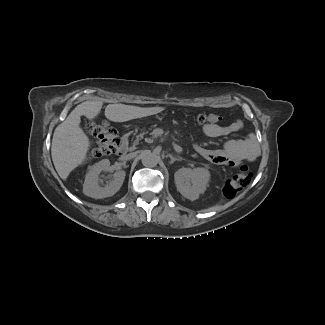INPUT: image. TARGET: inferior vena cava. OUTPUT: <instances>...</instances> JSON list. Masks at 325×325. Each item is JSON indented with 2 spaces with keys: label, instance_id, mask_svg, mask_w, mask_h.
<instances>
[{
  "label": "inferior vena cava",
  "instance_id": "inferior-vena-cava-1",
  "mask_svg": "<svg viewBox=\"0 0 325 325\" xmlns=\"http://www.w3.org/2000/svg\"><path fill=\"white\" fill-rule=\"evenodd\" d=\"M134 156H135V154L131 153V154L123 156L122 159L123 160H130V159L134 158Z\"/></svg>",
  "mask_w": 325,
  "mask_h": 325
}]
</instances>
